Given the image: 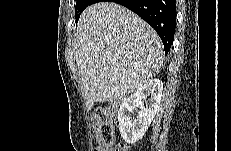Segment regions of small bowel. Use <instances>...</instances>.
Wrapping results in <instances>:
<instances>
[{"label":"small bowel","instance_id":"c3829d8e","mask_svg":"<svg viewBox=\"0 0 231 151\" xmlns=\"http://www.w3.org/2000/svg\"><path fill=\"white\" fill-rule=\"evenodd\" d=\"M99 142V141H98ZM96 151H106L105 147L99 142V146L96 148Z\"/></svg>","mask_w":231,"mask_h":151}]
</instances>
